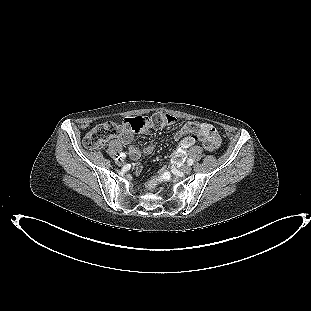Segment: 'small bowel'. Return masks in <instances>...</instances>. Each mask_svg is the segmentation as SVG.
Wrapping results in <instances>:
<instances>
[{"instance_id":"1","label":"small bowel","mask_w":311,"mask_h":311,"mask_svg":"<svg viewBox=\"0 0 311 311\" xmlns=\"http://www.w3.org/2000/svg\"><path fill=\"white\" fill-rule=\"evenodd\" d=\"M197 135L203 142L205 148L209 151L216 150L220 145V137L216 128L205 122H187L176 133L175 139L184 141L188 136ZM122 143L128 146V153L132 160L136 161L143 154H150L155 147L154 143L147 145L143 151H141L133 142V134L130 131H123L120 135ZM175 157L178 160H182L185 157L184 147H180L175 153ZM141 168L136 167V173H139Z\"/></svg>"}]
</instances>
